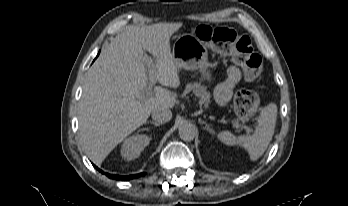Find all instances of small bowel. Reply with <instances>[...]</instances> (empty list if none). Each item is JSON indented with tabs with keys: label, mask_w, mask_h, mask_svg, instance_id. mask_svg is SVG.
<instances>
[{
	"label": "small bowel",
	"mask_w": 348,
	"mask_h": 206,
	"mask_svg": "<svg viewBox=\"0 0 348 206\" xmlns=\"http://www.w3.org/2000/svg\"><path fill=\"white\" fill-rule=\"evenodd\" d=\"M240 81V70L235 66L228 67L224 81L215 90V98L219 105H226L230 101L233 90Z\"/></svg>",
	"instance_id": "1"
}]
</instances>
